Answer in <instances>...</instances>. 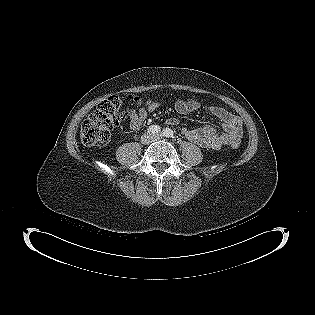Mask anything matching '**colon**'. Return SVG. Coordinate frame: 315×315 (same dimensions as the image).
Here are the masks:
<instances>
[{
	"label": "colon",
	"instance_id": "obj_1",
	"mask_svg": "<svg viewBox=\"0 0 315 315\" xmlns=\"http://www.w3.org/2000/svg\"><path fill=\"white\" fill-rule=\"evenodd\" d=\"M138 105H148L151 99L140 96L130 97ZM122 101L118 96H111L101 102L97 109L83 122L80 139L85 146H94L110 138L112 130L123 123L127 113L121 109ZM239 143H233L232 148H237Z\"/></svg>",
	"mask_w": 315,
	"mask_h": 315
}]
</instances>
